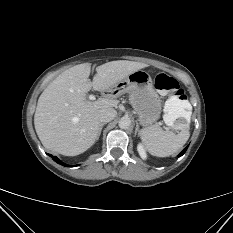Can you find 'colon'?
Here are the masks:
<instances>
[{
	"instance_id": "obj_1",
	"label": "colon",
	"mask_w": 233,
	"mask_h": 233,
	"mask_svg": "<svg viewBox=\"0 0 233 233\" xmlns=\"http://www.w3.org/2000/svg\"><path fill=\"white\" fill-rule=\"evenodd\" d=\"M155 88L169 94L164 105L166 123L177 130L186 128L192 115V107L179 83L165 73H158L154 79Z\"/></svg>"
}]
</instances>
